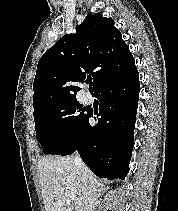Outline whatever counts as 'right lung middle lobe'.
<instances>
[{
	"instance_id": "obj_1",
	"label": "right lung middle lobe",
	"mask_w": 178,
	"mask_h": 211,
	"mask_svg": "<svg viewBox=\"0 0 178 211\" xmlns=\"http://www.w3.org/2000/svg\"><path fill=\"white\" fill-rule=\"evenodd\" d=\"M85 111L77 100H71L49 105L34 114L37 140L45 154H51L75 136L88 117Z\"/></svg>"
}]
</instances>
